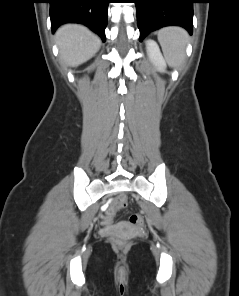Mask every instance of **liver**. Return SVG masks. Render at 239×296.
Instances as JSON below:
<instances>
[{
    "mask_svg": "<svg viewBox=\"0 0 239 296\" xmlns=\"http://www.w3.org/2000/svg\"><path fill=\"white\" fill-rule=\"evenodd\" d=\"M56 41L62 60L76 67L93 57L101 46L100 38L79 24H66L56 32Z\"/></svg>",
    "mask_w": 239,
    "mask_h": 296,
    "instance_id": "6515ba94",
    "label": "liver"
}]
</instances>
